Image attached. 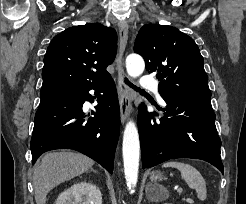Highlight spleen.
<instances>
[{
    "label": "spleen",
    "instance_id": "spleen-1",
    "mask_svg": "<svg viewBox=\"0 0 246 204\" xmlns=\"http://www.w3.org/2000/svg\"><path fill=\"white\" fill-rule=\"evenodd\" d=\"M162 167H174L181 172L182 179L187 185L196 190L198 198L203 201L206 199V183L201 173L192 165L179 161H168Z\"/></svg>",
    "mask_w": 246,
    "mask_h": 204
}]
</instances>
